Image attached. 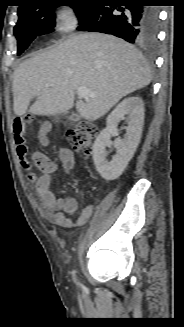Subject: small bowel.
<instances>
[{"label": "small bowel", "instance_id": "obj_1", "mask_svg": "<svg viewBox=\"0 0 184 327\" xmlns=\"http://www.w3.org/2000/svg\"><path fill=\"white\" fill-rule=\"evenodd\" d=\"M49 126L44 125L38 132L40 145L47 146ZM22 166L29 170L27 178L35 184L37 194L41 200L42 210L46 218L62 227L72 228L84 225L93 213V206L87 205L74 221L68 215L74 214L78 209L77 201L70 196L59 197L52 190V184L60 181L58 177V165L49 159L45 154L37 152L34 155V165L41 171V175L31 171L32 164L20 156ZM58 158L63 170L68 173L75 166V157L72 150L61 147L58 150Z\"/></svg>", "mask_w": 184, "mask_h": 327}]
</instances>
